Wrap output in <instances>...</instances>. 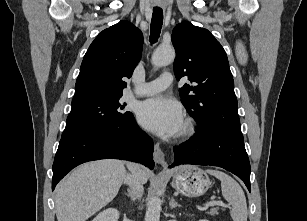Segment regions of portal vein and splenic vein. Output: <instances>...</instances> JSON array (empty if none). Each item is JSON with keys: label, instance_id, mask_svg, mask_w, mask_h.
<instances>
[{"label": "portal vein and splenic vein", "instance_id": "1", "mask_svg": "<svg viewBox=\"0 0 307 221\" xmlns=\"http://www.w3.org/2000/svg\"><path fill=\"white\" fill-rule=\"evenodd\" d=\"M210 206H225V204L222 201H211L204 204V208H208Z\"/></svg>", "mask_w": 307, "mask_h": 221}]
</instances>
